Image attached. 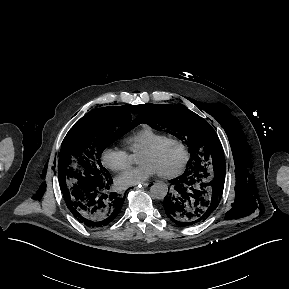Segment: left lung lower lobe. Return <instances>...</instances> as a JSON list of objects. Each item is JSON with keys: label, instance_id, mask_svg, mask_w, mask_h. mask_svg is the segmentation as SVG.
I'll return each mask as SVG.
<instances>
[{"label": "left lung lower lobe", "instance_id": "1", "mask_svg": "<svg viewBox=\"0 0 289 289\" xmlns=\"http://www.w3.org/2000/svg\"><path fill=\"white\" fill-rule=\"evenodd\" d=\"M225 162L213 170H186L172 179V191L164 198L165 214L179 226H190L206 220L217 208L223 192Z\"/></svg>", "mask_w": 289, "mask_h": 289}]
</instances>
